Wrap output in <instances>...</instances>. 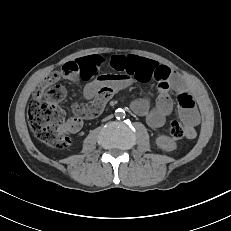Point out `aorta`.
Listing matches in <instances>:
<instances>
[{"mask_svg":"<svg viewBox=\"0 0 231 231\" xmlns=\"http://www.w3.org/2000/svg\"><path fill=\"white\" fill-rule=\"evenodd\" d=\"M124 115H125V111L123 109H117L115 111V116L117 118H122V117H124Z\"/></svg>","mask_w":231,"mask_h":231,"instance_id":"1","label":"aorta"}]
</instances>
